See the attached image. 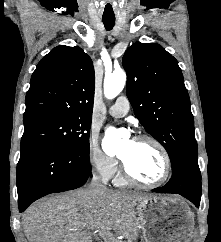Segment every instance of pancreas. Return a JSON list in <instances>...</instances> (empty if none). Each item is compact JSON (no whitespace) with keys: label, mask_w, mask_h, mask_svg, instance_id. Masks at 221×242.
Returning <instances> with one entry per match:
<instances>
[{"label":"pancreas","mask_w":221,"mask_h":242,"mask_svg":"<svg viewBox=\"0 0 221 242\" xmlns=\"http://www.w3.org/2000/svg\"><path fill=\"white\" fill-rule=\"evenodd\" d=\"M109 242H113V241H109ZM128 242H132L131 240H128Z\"/></svg>","instance_id":"1"}]
</instances>
